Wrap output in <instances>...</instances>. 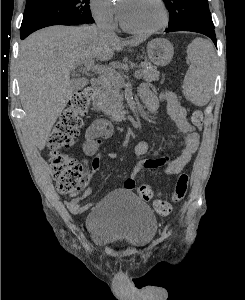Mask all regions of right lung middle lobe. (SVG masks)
Returning a JSON list of instances; mask_svg holds the SVG:
<instances>
[{"label":"right lung middle lobe","mask_w":245,"mask_h":300,"mask_svg":"<svg viewBox=\"0 0 245 300\" xmlns=\"http://www.w3.org/2000/svg\"><path fill=\"white\" fill-rule=\"evenodd\" d=\"M93 22L89 0H27L20 35L51 25Z\"/></svg>","instance_id":"1"}]
</instances>
